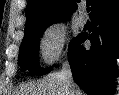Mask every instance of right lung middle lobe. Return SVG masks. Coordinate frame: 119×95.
Listing matches in <instances>:
<instances>
[{"mask_svg": "<svg viewBox=\"0 0 119 95\" xmlns=\"http://www.w3.org/2000/svg\"><path fill=\"white\" fill-rule=\"evenodd\" d=\"M57 22L41 25L25 33L19 49V63L22 70H28L34 75H44L51 71V68L48 70H43L39 67L38 52L40 38L42 37L44 31L47 29V27ZM74 40L75 38L70 42V44Z\"/></svg>", "mask_w": 119, "mask_h": 95, "instance_id": "right-lung-middle-lobe-1", "label": "right lung middle lobe"}]
</instances>
